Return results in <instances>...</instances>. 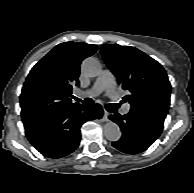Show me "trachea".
I'll use <instances>...</instances> for the list:
<instances>
[{
  "label": "trachea",
  "mask_w": 194,
  "mask_h": 193,
  "mask_svg": "<svg viewBox=\"0 0 194 193\" xmlns=\"http://www.w3.org/2000/svg\"><path fill=\"white\" fill-rule=\"evenodd\" d=\"M73 98L78 101V102H82L85 106H92L93 104V100L91 98H86L84 100L82 99H79L75 96H73ZM105 108L109 111V112H112V111H115L116 109L119 108V105L118 104H106L105 105Z\"/></svg>",
  "instance_id": "1"
}]
</instances>
